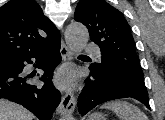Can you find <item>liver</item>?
Listing matches in <instances>:
<instances>
[{
  "instance_id": "1",
  "label": "liver",
  "mask_w": 165,
  "mask_h": 120,
  "mask_svg": "<svg viewBox=\"0 0 165 120\" xmlns=\"http://www.w3.org/2000/svg\"><path fill=\"white\" fill-rule=\"evenodd\" d=\"M33 114L23 106L0 99V120H33Z\"/></svg>"
}]
</instances>
